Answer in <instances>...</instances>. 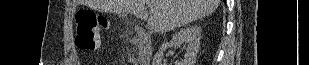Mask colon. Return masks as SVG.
Segmentation results:
<instances>
[{
  "mask_svg": "<svg viewBox=\"0 0 309 65\" xmlns=\"http://www.w3.org/2000/svg\"><path fill=\"white\" fill-rule=\"evenodd\" d=\"M77 27L76 45L84 51H95L101 46L100 31L109 27L107 17L81 10L75 16Z\"/></svg>",
  "mask_w": 309,
  "mask_h": 65,
  "instance_id": "1",
  "label": "colon"
}]
</instances>
